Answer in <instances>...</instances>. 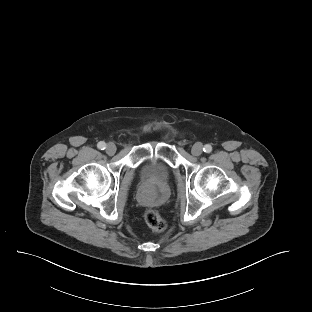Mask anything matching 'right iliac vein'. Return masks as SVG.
Wrapping results in <instances>:
<instances>
[{"mask_svg":"<svg viewBox=\"0 0 312 312\" xmlns=\"http://www.w3.org/2000/svg\"><path fill=\"white\" fill-rule=\"evenodd\" d=\"M106 152L109 155H113L116 152V146L114 143H108L106 146Z\"/></svg>","mask_w":312,"mask_h":312,"instance_id":"1","label":"right iliac vein"}]
</instances>
